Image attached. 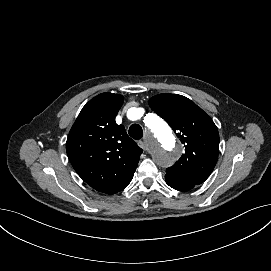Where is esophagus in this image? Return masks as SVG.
Segmentation results:
<instances>
[{"label":"esophagus","mask_w":271,"mask_h":271,"mask_svg":"<svg viewBox=\"0 0 271 271\" xmlns=\"http://www.w3.org/2000/svg\"><path fill=\"white\" fill-rule=\"evenodd\" d=\"M148 136H149V134L147 132H145L144 137H142L138 141V148L142 152H151L150 150L153 148V141Z\"/></svg>","instance_id":"1"}]
</instances>
